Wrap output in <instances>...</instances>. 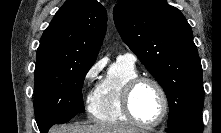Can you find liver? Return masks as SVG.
<instances>
[{
  "label": "liver",
  "mask_w": 221,
  "mask_h": 133,
  "mask_svg": "<svg viewBox=\"0 0 221 133\" xmlns=\"http://www.w3.org/2000/svg\"><path fill=\"white\" fill-rule=\"evenodd\" d=\"M50 133H143V131L134 127L107 123H97L94 125L75 123L53 127Z\"/></svg>",
  "instance_id": "6515ba94"
}]
</instances>
